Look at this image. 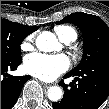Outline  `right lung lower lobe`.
I'll return each mask as SVG.
<instances>
[{
    "mask_svg": "<svg viewBox=\"0 0 109 109\" xmlns=\"http://www.w3.org/2000/svg\"><path fill=\"white\" fill-rule=\"evenodd\" d=\"M21 60L16 62L1 61V109H11L16 103L23 85L29 76L15 77L7 73L8 70H16Z\"/></svg>",
    "mask_w": 109,
    "mask_h": 109,
    "instance_id": "obj_1",
    "label": "right lung lower lobe"
}]
</instances>
